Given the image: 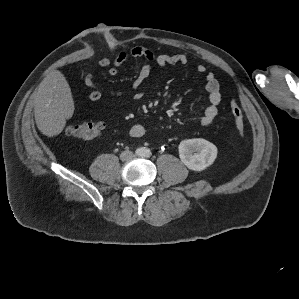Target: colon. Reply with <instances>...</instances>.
I'll return each mask as SVG.
<instances>
[{"label":"colon","mask_w":299,"mask_h":299,"mask_svg":"<svg viewBox=\"0 0 299 299\" xmlns=\"http://www.w3.org/2000/svg\"><path fill=\"white\" fill-rule=\"evenodd\" d=\"M231 111L234 118L236 133L238 136L244 135V117L241 107L236 100L231 101ZM104 129L102 122L84 121L75 124H70L66 127L65 133L68 136L80 139H94L100 135Z\"/></svg>","instance_id":"obj_1"}]
</instances>
